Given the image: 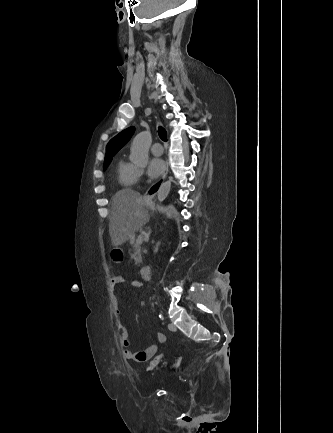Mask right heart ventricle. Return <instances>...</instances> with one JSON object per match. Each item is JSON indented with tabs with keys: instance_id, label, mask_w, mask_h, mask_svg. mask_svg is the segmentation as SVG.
I'll list each match as a JSON object with an SVG mask.
<instances>
[{
	"instance_id": "1",
	"label": "right heart ventricle",
	"mask_w": 333,
	"mask_h": 433,
	"mask_svg": "<svg viewBox=\"0 0 333 433\" xmlns=\"http://www.w3.org/2000/svg\"><path fill=\"white\" fill-rule=\"evenodd\" d=\"M138 168L131 162L120 158L116 163L117 181L122 188H130L138 181Z\"/></svg>"
}]
</instances>
